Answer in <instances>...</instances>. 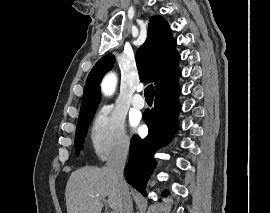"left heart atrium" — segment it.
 <instances>
[{"label": "left heart atrium", "instance_id": "1", "mask_svg": "<svg viewBox=\"0 0 270 213\" xmlns=\"http://www.w3.org/2000/svg\"><path fill=\"white\" fill-rule=\"evenodd\" d=\"M132 126H136V122L135 121L132 122Z\"/></svg>", "mask_w": 270, "mask_h": 213}]
</instances>
